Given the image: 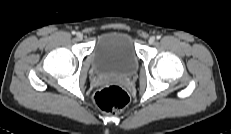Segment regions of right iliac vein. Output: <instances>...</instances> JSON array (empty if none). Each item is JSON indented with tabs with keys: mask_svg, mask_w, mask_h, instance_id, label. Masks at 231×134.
Listing matches in <instances>:
<instances>
[{
	"mask_svg": "<svg viewBox=\"0 0 231 134\" xmlns=\"http://www.w3.org/2000/svg\"><path fill=\"white\" fill-rule=\"evenodd\" d=\"M76 37H77L78 40H82V39H83V34L80 33V32H78V33L76 34Z\"/></svg>",
	"mask_w": 231,
	"mask_h": 134,
	"instance_id": "obj_1",
	"label": "right iliac vein"
}]
</instances>
